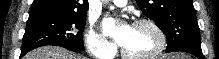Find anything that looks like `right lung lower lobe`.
<instances>
[{
  "mask_svg": "<svg viewBox=\"0 0 219 59\" xmlns=\"http://www.w3.org/2000/svg\"><path fill=\"white\" fill-rule=\"evenodd\" d=\"M69 50L74 51V52H81L82 50H78V49H72L70 48ZM23 55L21 54L20 57H22Z\"/></svg>",
  "mask_w": 219,
  "mask_h": 59,
  "instance_id": "98d812e1",
  "label": "right lung lower lobe"
}]
</instances>
